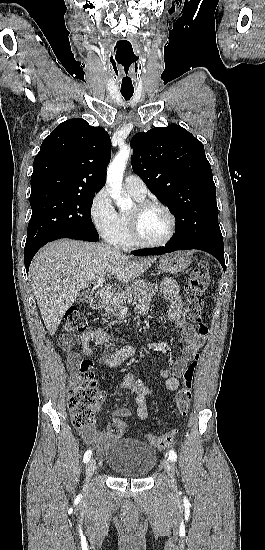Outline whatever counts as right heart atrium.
<instances>
[{
  "mask_svg": "<svg viewBox=\"0 0 265 550\" xmlns=\"http://www.w3.org/2000/svg\"><path fill=\"white\" fill-rule=\"evenodd\" d=\"M89 215L97 233L112 242L119 230V219L107 189L103 188L94 195Z\"/></svg>",
  "mask_w": 265,
  "mask_h": 550,
  "instance_id": "obj_1",
  "label": "right heart atrium"
}]
</instances>
